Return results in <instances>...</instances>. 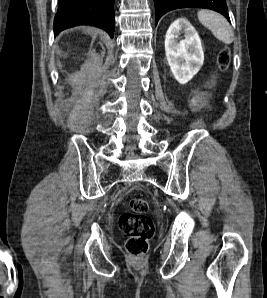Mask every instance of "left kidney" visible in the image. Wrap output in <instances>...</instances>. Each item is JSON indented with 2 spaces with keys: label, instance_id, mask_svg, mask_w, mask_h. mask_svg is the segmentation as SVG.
Here are the masks:
<instances>
[{
  "label": "left kidney",
  "instance_id": "left-kidney-1",
  "mask_svg": "<svg viewBox=\"0 0 267 298\" xmlns=\"http://www.w3.org/2000/svg\"><path fill=\"white\" fill-rule=\"evenodd\" d=\"M180 33H184V39L178 42ZM165 53L172 74L182 85L202 67L204 52L201 40L187 19L179 18L170 25L165 36Z\"/></svg>",
  "mask_w": 267,
  "mask_h": 298
}]
</instances>
